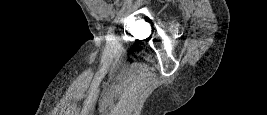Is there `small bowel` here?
Returning a JSON list of instances; mask_svg holds the SVG:
<instances>
[{
	"instance_id": "obj_1",
	"label": "small bowel",
	"mask_w": 267,
	"mask_h": 115,
	"mask_svg": "<svg viewBox=\"0 0 267 115\" xmlns=\"http://www.w3.org/2000/svg\"><path fill=\"white\" fill-rule=\"evenodd\" d=\"M89 8L98 16H106L110 11V6L98 0H86Z\"/></svg>"
}]
</instances>
